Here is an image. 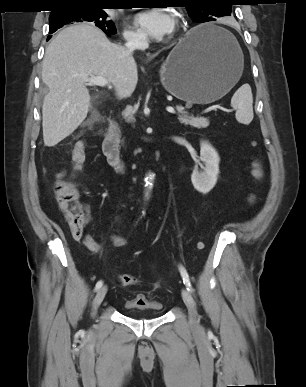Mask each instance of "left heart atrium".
<instances>
[{
	"instance_id": "39dd6f15",
	"label": "left heart atrium",
	"mask_w": 306,
	"mask_h": 387,
	"mask_svg": "<svg viewBox=\"0 0 306 387\" xmlns=\"http://www.w3.org/2000/svg\"><path fill=\"white\" fill-rule=\"evenodd\" d=\"M135 25L152 38H162L172 32L174 21L163 9L155 8L137 15Z\"/></svg>"
}]
</instances>
